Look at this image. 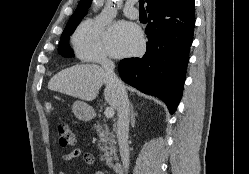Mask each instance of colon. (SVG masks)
Wrapping results in <instances>:
<instances>
[{
    "mask_svg": "<svg viewBox=\"0 0 249 174\" xmlns=\"http://www.w3.org/2000/svg\"><path fill=\"white\" fill-rule=\"evenodd\" d=\"M57 136L59 144L62 147H68L74 144L75 136L71 126L67 123H60L57 126Z\"/></svg>",
    "mask_w": 249,
    "mask_h": 174,
    "instance_id": "obj_1",
    "label": "colon"
}]
</instances>
